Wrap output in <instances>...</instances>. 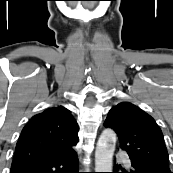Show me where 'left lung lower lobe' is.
<instances>
[{
  "label": "left lung lower lobe",
  "mask_w": 173,
  "mask_h": 173,
  "mask_svg": "<svg viewBox=\"0 0 173 173\" xmlns=\"http://www.w3.org/2000/svg\"><path fill=\"white\" fill-rule=\"evenodd\" d=\"M131 166H132V168L129 173H164L160 169L151 167L146 164H141V163H138V162L132 161V160H131ZM117 171H118V169L114 168L113 173H118ZM124 173H127V172H124Z\"/></svg>",
  "instance_id": "obj_1"
}]
</instances>
